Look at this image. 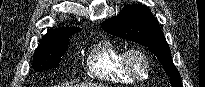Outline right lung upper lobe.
<instances>
[{
    "mask_svg": "<svg viewBox=\"0 0 205 87\" xmlns=\"http://www.w3.org/2000/svg\"><path fill=\"white\" fill-rule=\"evenodd\" d=\"M81 29L77 27H64L49 30L41 39V42H56L69 38L74 33H78Z\"/></svg>",
    "mask_w": 205,
    "mask_h": 87,
    "instance_id": "obj_1",
    "label": "right lung upper lobe"
}]
</instances>
